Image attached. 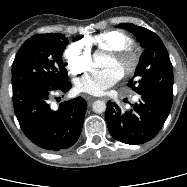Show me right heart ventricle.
Instances as JSON below:
<instances>
[{
	"instance_id": "obj_1",
	"label": "right heart ventricle",
	"mask_w": 187,
	"mask_h": 187,
	"mask_svg": "<svg viewBox=\"0 0 187 187\" xmlns=\"http://www.w3.org/2000/svg\"><path fill=\"white\" fill-rule=\"evenodd\" d=\"M88 43L95 45L100 50L112 51L124 47H132L133 40L121 31L111 30L92 37Z\"/></svg>"
}]
</instances>
